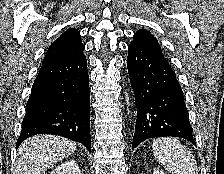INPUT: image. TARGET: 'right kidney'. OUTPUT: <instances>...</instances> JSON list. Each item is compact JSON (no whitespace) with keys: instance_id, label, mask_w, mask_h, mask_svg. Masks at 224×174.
Wrapping results in <instances>:
<instances>
[{"instance_id":"ca27d5eb","label":"right kidney","mask_w":224,"mask_h":174,"mask_svg":"<svg viewBox=\"0 0 224 174\" xmlns=\"http://www.w3.org/2000/svg\"><path fill=\"white\" fill-rule=\"evenodd\" d=\"M50 174H81L75 160H69L57 166Z\"/></svg>"}]
</instances>
